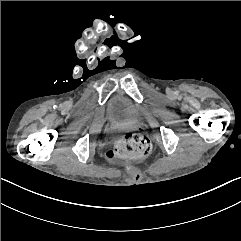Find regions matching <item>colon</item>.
Wrapping results in <instances>:
<instances>
[{"mask_svg": "<svg viewBox=\"0 0 241 241\" xmlns=\"http://www.w3.org/2000/svg\"><path fill=\"white\" fill-rule=\"evenodd\" d=\"M151 151L152 144L147 136L127 133L119 138L112 148L105 151L103 156L108 162L139 160L147 157Z\"/></svg>", "mask_w": 241, "mask_h": 241, "instance_id": "1", "label": "colon"}]
</instances>
